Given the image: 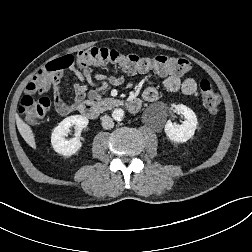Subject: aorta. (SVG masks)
Segmentation results:
<instances>
[{
	"instance_id": "762f6f07",
	"label": "aorta",
	"mask_w": 252,
	"mask_h": 252,
	"mask_svg": "<svg viewBox=\"0 0 252 252\" xmlns=\"http://www.w3.org/2000/svg\"><path fill=\"white\" fill-rule=\"evenodd\" d=\"M125 112L123 109L121 108H117L113 111L112 113V117L114 118V120L116 121H121L124 118Z\"/></svg>"
}]
</instances>
